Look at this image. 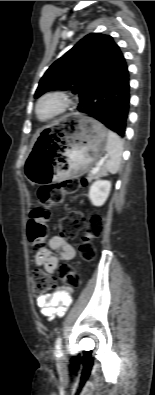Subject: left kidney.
Segmentation results:
<instances>
[{
  "instance_id": "left-kidney-1",
  "label": "left kidney",
  "mask_w": 155,
  "mask_h": 395,
  "mask_svg": "<svg viewBox=\"0 0 155 395\" xmlns=\"http://www.w3.org/2000/svg\"><path fill=\"white\" fill-rule=\"evenodd\" d=\"M111 190V182L96 180L90 187L89 199L94 206H102L107 200Z\"/></svg>"
}]
</instances>
